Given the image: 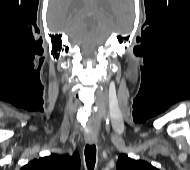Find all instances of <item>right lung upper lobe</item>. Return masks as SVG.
Returning <instances> with one entry per match:
<instances>
[{"label":"right lung upper lobe","instance_id":"cb5924a9","mask_svg":"<svg viewBox=\"0 0 190 170\" xmlns=\"http://www.w3.org/2000/svg\"><path fill=\"white\" fill-rule=\"evenodd\" d=\"M80 157L77 152L73 155L51 154L39 159L30 161L21 170H79Z\"/></svg>","mask_w":190,"mask_h":170}]
</instances>
